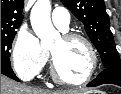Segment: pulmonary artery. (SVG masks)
<instances>
[{
    "mask_svg": "<svg viewBox=\"0 0 121 94\" xmlns=\"http://www.w3.org/2000/svg\"><path fill=\"white\" fill-rule=\"evenodd\" d=\"M52 21L56 27L62 31H66L70 23V15L67 9L57 7L52 12Z\"/></svg>",
    "mask_w": 121,
    "mask_h": 94,
    "instance_id": "pulmonary-artery-1",
    "label": "pulmonary artery"
}]
</instances>
